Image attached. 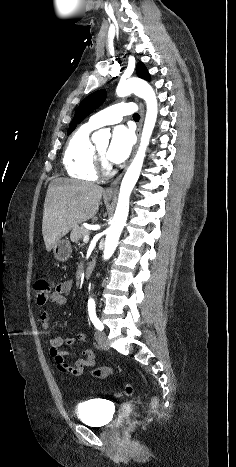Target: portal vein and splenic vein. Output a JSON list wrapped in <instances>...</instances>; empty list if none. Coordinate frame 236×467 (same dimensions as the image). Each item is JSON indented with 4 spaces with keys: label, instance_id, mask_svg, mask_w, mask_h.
Instances as JSON below:
<instances>
[{
    "label": "portal vein and splenic vein",
    "instance_id": "18ae733b",
    "mask_svg": "<svg viewBox=\"0 0 236 467\" xmlns=\"http://www.w3.org/2000/svg\"><path fill=\"white\" fill-rule=\"evenodd\" d=\"M83 242H85V243L89 242V235H85L83 237Z\"/></svg>",
    "mask_w": 236,
    "mask_h": 467
}]
</instances>
